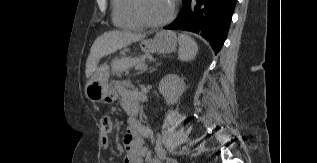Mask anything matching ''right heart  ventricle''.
Here are the masks:
<instances>
[{"label": "right heart ventricle", "instance_id": "right-heart-ventricle-1", "mask_svg": "<svg viewBox=\"0 0 317 163\" xmlns=\"http://www.w3.org/2000/svg\"><path fill=\"white\" fill-rule=\"evenodd\" d=\"M133 0H112V19L116 27L127 30L142 29L132 6Z\"/></svg>", "mask_w": 317, "mask_h": 163}]
</instances>
